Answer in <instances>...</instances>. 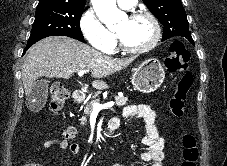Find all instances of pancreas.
<instances>
[{
  "mask_svg": "<svg viewBox=\"0 0 227 166\" xmlns=\"http://www.w3.org/2000/svg\"><path fill=\"white\" fill-rule=\"evenodd\" d=\"M115 101L117 106H124L128 102V98L124 96H115ZM100 102V99H97L96 101H90L86 103V106L84 108V116L80 119L81 124L84 125L87 122L86 116L90 115L93 111V104Z\"/></svg>",
  "mask_w": 227,
  "mask_h": 166,
  "instance_id": "pancreas-1",
  "label": "pancreas"
}]
</instances>
